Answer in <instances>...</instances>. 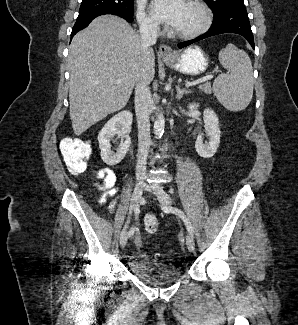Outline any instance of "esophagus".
I'll return each mask as SVG.
<instances>
[{"instance_id": "1", "label": "esophagus", "mask_w": 298, "mask_h": 325, "mask_svg": "<svg viewBox=\"0 0 298 325\" xmlns=\"http://www.w3.org/2000/svg\"><path fill=\"white\" fill-rule=\"evenodd\" d=\"M158 53L162 58L171 59L174 55L173 49L168 45H160Z\"/></svg>"}]
</instances>
